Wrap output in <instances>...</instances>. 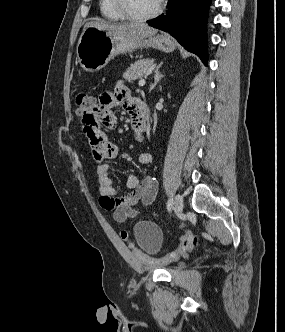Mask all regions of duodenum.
<instances>
[{
	"label": "duodenum",
	"instance_id": "410a0bca",
	"mask_svg": "<svg viewBox=\"0 0 285 332\" xmlns=\"http://www.w3.org/2000/svg\"><path fill=\"white\" fill-rule=\"evenodd\" d=\"M138 107L141 114V119L145 125L150 121V111L146 103L138 101Z\"/></svg>",
	"mask_w": 285,
	"mask_h": 332
}]
</instances>
